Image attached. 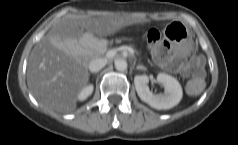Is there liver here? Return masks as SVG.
<instances>
[{
  "label": "liver",
  "instance_id": "obj_1",
  "mask_svg": "<svg viewBox=\"0 0 238 145\" xmlns=\"http://www.w3.org/2000/svg\"><path fill=\"white\" fill-rule=\"evenodd\" d=\"M136 14L106 12L98 17L74 16L57 22L32 49L27 65V84L46 108L70 113L77 94L89 79L90 51L80 48L84 31L107 36L143 22Z\"/></svg>",
  "mask_w": 238,
  "mask_h": 145
}]
</instances>
